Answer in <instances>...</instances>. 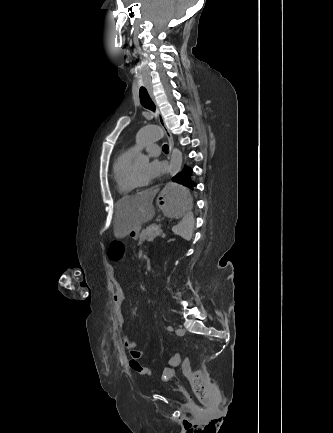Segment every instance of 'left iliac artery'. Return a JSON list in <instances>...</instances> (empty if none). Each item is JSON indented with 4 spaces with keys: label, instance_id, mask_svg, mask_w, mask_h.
Returning <instances> with one entry per match:
<instances>
[{
    "label": "left iliac artery",
    "instance_id": "obj_1",
    "mask_svg": "<svg viewBox=\"0 0 333 433\" xmlns=\"http://www.w3.org/2000/svg\"><path fill=\"white\" fill-rule=\"evenodd\" d=\"M167 330L170 331V332H172L173 331V327L169 325V326H167Z\"/></svg>",
    "mask_w": 333,
    "mask_h": 433
}]
</instances>
